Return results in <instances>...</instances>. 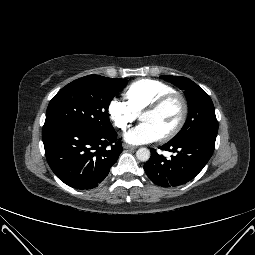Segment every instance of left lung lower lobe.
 I'll list each match as a JSON object with an SVG mask.
<instances>
[{"label":"left lung lower lobe","instance_id":"obj_1","mask_svg":"<svg viewBox=\"0 0 255 255\" xmlns=\"http://www.w3.org/2000/svg\"><path fill=\"white\" fill-rule=\"evenodd\" d=\"M215 144L207 141L168 142L161 150L176 153L171 159L151 148V157L144 164L149 179L162 187L179 186L193 179L213 154Z\"/></svg>","mask_w":255,"mask_h":255}]
</instances>
